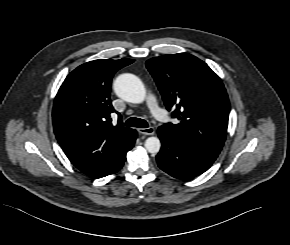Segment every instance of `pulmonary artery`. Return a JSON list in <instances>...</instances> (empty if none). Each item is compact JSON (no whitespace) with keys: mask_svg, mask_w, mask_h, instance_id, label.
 Returning <instances> with one entry per match:
<instances>
[{"mask_svg":"<svg viewBox=\"0 0 290 245\" xmlns=\"http://www.w3.org/2000/svg\"><path fill=\"white\" fill-rule=\"evenodd\" d=\"M148 105L153 114V116L159 120L164 121L166 119L165 111L159 107L155 97L153 95H149L148 97Z\"/></svg>","mask_w":290,"mask_h":245,"instance_id":"pulmonary-artery-1","label":"pulmonary artery"}]
</instances>
